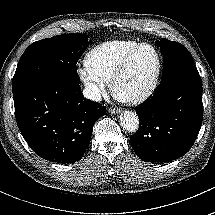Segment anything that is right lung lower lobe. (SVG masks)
<instances>
[{"instance_id":"1","label":"right lung lower lobe","mask_w":215,"mask_h":215,"mask_svg":"<svg viewBox=\"0 0 215 215\" xmlns=\"http://www.w3.org/2000/svg\"><path fill=\"white\" fill-rule=\"evenodd\" d=\"M20 132L41 158L74 163L82 158L93 126L106 108L85 99L79 84L41 80L13 92Z\"/></svg>"}]
</instances>
